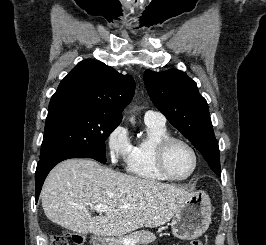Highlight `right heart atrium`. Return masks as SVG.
Wrapping results in <instances>:
<instances>
[{
  "mask_svg": "<svg viewBox=\"0 0 266 245\" xmlns=\"http://www.w3.org/2000/svg\"><path fill=\"white\" fill-rule=\"evenodd\" d=\"M105 145L109 163L112 166H127L129 164L133 144L129 131L123 124L114 126L106 135Z\"/></svg>",
  "mask_w": 266,
  "mask_h": 245,
  "instance_id": "obj_1",
  "label": "right heart atrium"
}]
</instances>
